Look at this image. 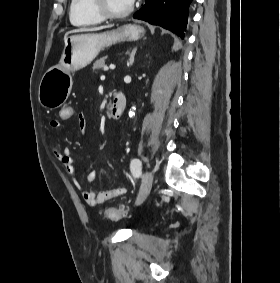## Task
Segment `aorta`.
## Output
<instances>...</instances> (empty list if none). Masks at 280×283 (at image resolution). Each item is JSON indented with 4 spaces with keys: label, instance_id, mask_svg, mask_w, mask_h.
I'll list each match as a JSON object with an SVG mask.
<instances>
[{
    "label": "aorta",
    "instance_id": "aorta-1",
    "mask_svg": "<svg viewBox=\"0 0 280 283\" xmlns=\"http://www.w3.org/2000/svg\"><path fill=\"white\" fill-rule=\"evenodd\" d=\"M135 115V107H132V109L129 111V116L132 117Z\"/></svg>",
    "mask_w": 280,
    "mask_h": 283
}]
</instances>
